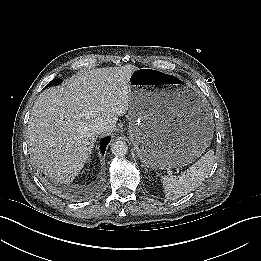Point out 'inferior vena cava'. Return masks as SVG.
Instances as JSON below:
<instances>
[{"mask_svg":"<svg viewBox=\"0 0 261 261\" xmlns=\"http://www.w3.org/2000/svg\"><path fill=\"white\" fill-rule=\"evenodd\" d=\"M91 129L96 134H101L107 131L108 125L103 119H96L91 125Z\"/></svg>","mask_w":261,"mask_h":261,"instance_id":"inferior-vena-cava-1","label":"inferior vena cava"}]
</instances>
